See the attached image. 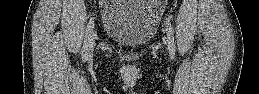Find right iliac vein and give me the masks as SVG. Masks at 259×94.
Returning a JSON list of instances; mask_svg holds the SVG:
<instances>
[{
  "mask_svg": "<svg viewBox=\"0 0 259 94\" xmlns=\"http://www.w3.org/2000/svg\"><path fill=\"white\" fill-rule=\"evenodd\" d=\"M96 33L92 32L91 38L89 40L88 56L91 57L95 45Z\"/></svg>",
  "mask_w": 259,
  "mask_h": 94,
  "instance_id": "obj_1",
  "label": "right iliac vein"
}]
</instances>
